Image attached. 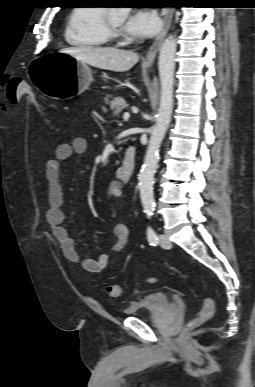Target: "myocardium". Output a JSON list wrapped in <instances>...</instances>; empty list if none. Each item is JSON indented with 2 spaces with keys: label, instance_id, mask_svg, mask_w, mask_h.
I'll list each match as a JSON object with an SVG mask.
<instances>
[{
  "label": "myocardium",
  "instance_id": "f54148a6",
  "mask_svg": "<svg viewBox=\"0 0 255 387\" xmlns=\"http://www.w3.org/2000/svg\"><path fill=\"white\" fill-rule=\"evenodd\" d=\"M104 29L110 40H116L122 37V32L119 28L115 27L111 21L109 11H105L103 17Z\"/></svg>",
  "mask_w": 255,
  "mask_h": 387
}]
</instances>
